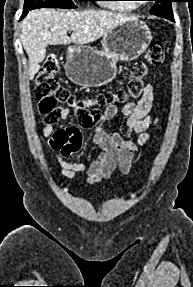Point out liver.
Here are the masks:
<instances>
[{
    "label": "liver",
    "instance_id": "6515ba94",
    "mask_svg": "<svg viewBox=\"0 0 193 287\" xmlns=\"http://www.w3.org/2000/svg\"><path fill=\"white\" fill-rule=\"evenodd\" d=\"M136 18L104 10L65 11L36 9L21 22V42L29 57V78H34L45 59L47 45H85ZM73 31L71 37L67 32Z\"/></svg>",
    "mask_w": 193,
    "mask_h": 287
}]
</instances>
